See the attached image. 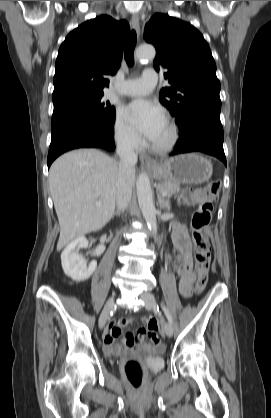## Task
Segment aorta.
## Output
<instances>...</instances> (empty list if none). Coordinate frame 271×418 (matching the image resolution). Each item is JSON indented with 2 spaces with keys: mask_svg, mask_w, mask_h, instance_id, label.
<instances>
[{
  "mask_svg": "<svg viewBox=\"0 0 271 418\" xmlns=\"http://www.w3.org/2000/svg\"><path fill=\"white\" fill-rule=\"evenodd\" d=\"M155 48L151 45L140 46L136 51L138 60H151L155 57ZM139 207L143 217L153 233H157L156 209L153 202L150 180L145 172H142L136 183Z\"/></svg>",
  "mask_w": 271,
  "mask_h": 418,
  "instance_id": "obj_1",
  "label": "aorta"
}]
</instances>
